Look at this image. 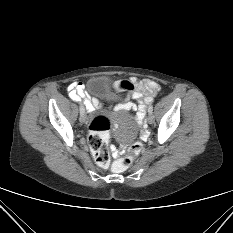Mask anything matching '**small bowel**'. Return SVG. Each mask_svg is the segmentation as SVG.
I'll return each mask as SVG.
<instances>
[{
  "label": "small bowel",
  "mask_w": 233,
  "mask_h": 233,
  "mask_svg": "<svg viewBox=\"0 0 233 233\" xmlns=\"http://www.w3.org/2000/svg\"><path fill=\"white\" fill-rule=\"evenodd\" d=\"M130 82L134 86L132 96L137 101V104L124 102L113 106L112 110L113 112H121L130 109L136 110V119L138 122H141L144 118L147 105L153 101L155 96L160 92L161 88L157 82L151 79L138 80L137 78L133 77L130 79ZM67 91L72 100H83L85 107L89 112L94 111L95 109H99L103 106L98 98L90 96L85 91V86L82 82L71 83L68 86ZM122 153L123 150L116 149L115 147L112 148V154L114 158L119 157V155Z\"/></svg>",
  "instance_id": "obj_1"
}]
</instances>
